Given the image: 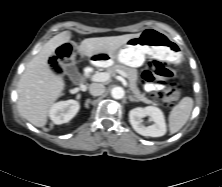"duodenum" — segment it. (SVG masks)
<instances>
[{
    "label": "duodenum",
    "instance_id": "duodenum-1",
    "mask_svg": "<svg viewBox=\"0 0 222 187\" xmlns=\"http://www.w3.org/2000/svg\"><path fill=\"white\" fill-rule=\"evenodd\" d=\"M91 73V68H88L87 71H86V75L90 74ZM81 85V84H80Z\"/></svg>",
    "mask_w": 222,
    "mask_h": 187
}]
</instances>
